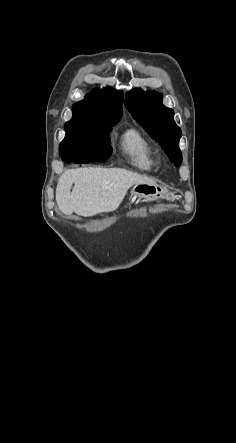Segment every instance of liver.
Returning <instances> with one entry per match:
<instances>
[{"mask_svg":"<svg viewBox=\"0 0 236 443\" xmlns=\"http://www.w3.org/2000/svg\"><path fill=\"white\" fill-rule=\"evenodd\" d=\"M135 184L155 185V181L120 168L67 170L58 180L56 202L65 215L94 216L116 210Z\"/></svg>","mask_w":236,"mask_h":443,"instance_id":"1","label":"liver"}]
</instances>
